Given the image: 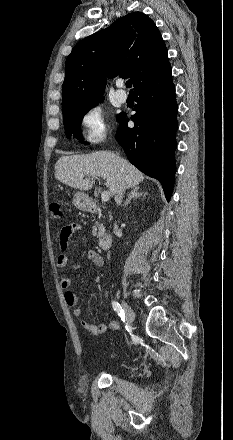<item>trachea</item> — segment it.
I'll return each instance as SVG.
<instances>
[{"label":"trachea","mask_w":233,"mask_h":440,"mask_svg":"<svg viewBox=\"0 0 233 440\" xmlns=\"http://www.w3.org/2000/svg\"><path fill=\"white\" fill-rule=\"evenodd\" d=\"M132 86V82H131V80H128L127 82H126V87L127 88H130Z\"/></svg>","instance_id":"1"}]
</instances>
